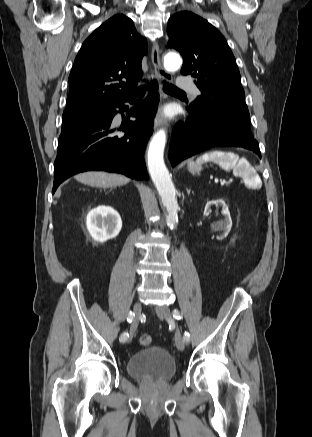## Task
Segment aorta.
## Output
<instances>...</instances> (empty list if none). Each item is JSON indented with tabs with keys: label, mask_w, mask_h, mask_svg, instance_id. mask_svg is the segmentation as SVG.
<instances>
[{
	"label": "aorta",
	"mask_w": 312,
	"mask_h": 437,
	"mask_svg": "<svg viewBox=\"0 0 312 437\" xmlns=\"http://www.w3.org/2000/svg\"><path fill=\"white\" fill-rule=\"evenodd\" d=\"M181 64L182 60L178 54L169 53L164 57V67L168 71L179 69ZM165 144L166 133L164 130H160L153 136L149 144L147 161L150 176L167 212L166 223L172 229L176 228L178 224L177 213L179 207L173 182L164 163Z\"/></svg>",
	"instance_id": "762f6f07"
}]
</instances>
